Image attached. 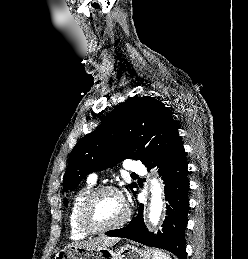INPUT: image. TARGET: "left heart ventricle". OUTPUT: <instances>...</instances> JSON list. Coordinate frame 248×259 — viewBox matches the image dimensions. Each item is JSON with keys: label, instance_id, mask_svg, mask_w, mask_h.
<instances>
[{"label": "left heart ventricle", "instance_id": "1", "mask_svg": "<svg viewBox=\"0 0 248 259\" xmlns=\"http://www.w3.org/2000/svg\"><path fill=\"white\" fill-rule=\"evenodd\" d=\"M124 214L123 200L114 193L100 195L91 208V219L96 225H108Z\"/></svg>", "mask_w": 248, "mask_h": 259}]
</instances>
